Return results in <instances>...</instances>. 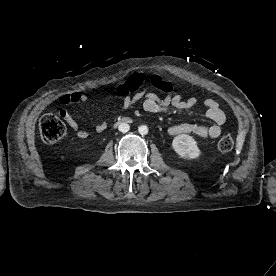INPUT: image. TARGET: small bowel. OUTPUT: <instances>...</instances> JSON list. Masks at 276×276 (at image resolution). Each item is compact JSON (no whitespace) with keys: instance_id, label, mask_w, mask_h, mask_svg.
<instances>
[{"instance_id":"obj_1","label":"small bowel","mask_w":276,"mask_h":276,"mask_svg":"<svg viewBox=\"0 0 276 276\" xmlns=\"http://www.w3.org/2000/svg\"><path fill=\"white\" fill-rule=\"evenodd\" d=\"M87 100L88 96L81 91L65 93L59 98V102L63 106L85 103ZM139 101H142L143 109L146 112L175 113L191 108L195 105L197 99L193 97L185 101L180 94L176 96L167 95L164 99H161L155 94L148 93L147 89L144 88L133 95H125L122 99L121 106L123 109H129ZM203 104L205 116L213 122L211 126L190 123L177 124L169 128L168 134L173 136L181 133H189L201 138H218L222 133L223 125L226 123V115L219 107L218 103L211 98L206 99ZM61 115L79 138H87L89 136L88 131L81 129L76 119L68 111L62 110ZM104 128L105 126L103 123L98 124L96 126V131L101 132Z\"/></svg>"}]
</instances>
